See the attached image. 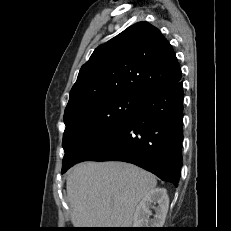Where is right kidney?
Returning <instances> with one entry per match:
<instances>
[{
	"label": "right kidney",
	"instance_id": "right-kidney-1",
	"mask_svg": "<svg viewBox=\"0 0 231 231\" xmlns=\"http://www.w3.org/2000/svg\"><path fill=\"white\" fill-rule=\"evenodd\" d=\"M151 208L155 209L153 219ZM169 208V198L164 188L151 190L142 199L134 213V228H162Z\"/></svg>",
	"mask_w": 231,
	"mask_h": 231
}]
</instances>
